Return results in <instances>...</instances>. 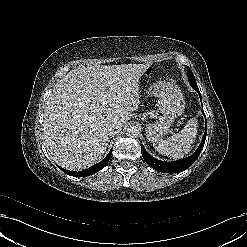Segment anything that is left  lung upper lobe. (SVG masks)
I'll return each mask as SVG.
<instances>
[{"mask_svg": "<svg viewBox=\"0 0 247 247\" xmlns=\"http://www.w3.org/2000/svg\"><path fill=\"white\" fill-rule=\"evenodd\" d=\"M189 83H196L195 77L190 69H187Z\"/></svg>", "mask_w": 247, "mask_h": 247, "instance_id": "5c2ea615", "label": "left lung upper lobe"}]
</instances>
